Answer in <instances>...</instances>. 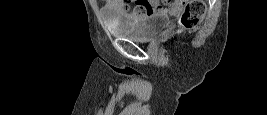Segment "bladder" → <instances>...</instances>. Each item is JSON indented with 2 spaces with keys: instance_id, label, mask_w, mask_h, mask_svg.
<instances>
[{
  "instance_id": "bladder-1",
  "label": "bladder",
  "mask_w": 267,
  "mask_h": 115,
  "mask_svg": "<svg viewBox=\"0 0 267 115\" xmlns=\"http://www.w3.org/2000/svg\"><path fill=\"white\" fill-rule=\"evenodd\" d=\"M171 23L170 16L162 13L143 14L135 23L109 25L114 35L134 42H146L164 31Z\"/></svg>"
}]
</instances>
